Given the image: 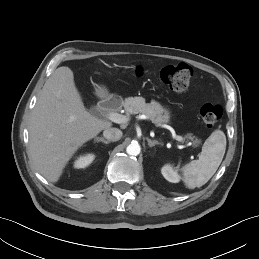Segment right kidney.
I'll use <instances>...</instances> for the list:
<instances>
[{"mask_svg":"<svg viewBox=\"0 0 259 259\" xmlns=\"http://www.w3.org/2000/svg\"><path fill=\"white\" fill-rule=\"evenodd\" d=\"M95 156L93 154H87L85 156H80L75 162H74V167L75 168H85L89 164L92 163L94 160Z\"/></svg>","mask_w":259,"mask_h":259,"instance_id":"right-kidney-1","label":"right kidney"}]
</instances>
